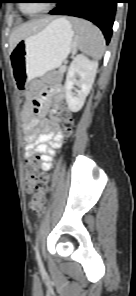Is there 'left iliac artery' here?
Masks as SVG:
<instances>
[{"label":"left iliac artery","mask_w":136,"mask_h":296,"mask_svg":"<svg viewBox=\"0 0 136 296\" xmlns=\"http://www.w3.org/2000/svg\"><path fill=\"white\" fill-rule=\"evenodd\" d=\"M35 251H36V259H37V263L40 268V271H44V266H43V263H42V260H41V257H40L39 251H38L37 242H36V246H35Z\"/></svg>","instance_id":"left-iliac-artery-1"}]
</instances>
